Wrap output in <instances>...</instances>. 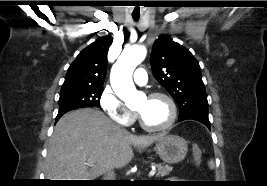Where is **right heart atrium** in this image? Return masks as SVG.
<instances>
[{
    "label": "right heart atrium",
    "instance_id": "1",
    "mask_svg": "<svg viewBox=\"0 0 267 186\" xmlns=\"http://www.w3.org/2000/svg\"><path fill=\"white\" fill-rule=\"evenodd\" d=\"M100 106L108 117L122 126H130L135 120V114L119 99L111 87L103 89L99 97Z\"/></svg>",
    "mask_w": 267,
    "mask_h": 186
}]
</instances>
